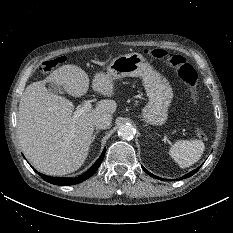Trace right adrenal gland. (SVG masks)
Here are the masks:
<instances>
[{"instance_id": "1", "label": "right adrenal gland", "mask_w": 233, "mask_h": 233, "mask_svg": "<svg viewBox=\"0 0 233 233\" xmlns=\"http://www.w3.org/2000/svg\"><path fill=\"white\" fill-rule=\"evenodd\" d=\"M99 133V130H96V132L94 133L93 137H92V142L94 141V139L96 138L97 134Z\"/></svg>"}]
</instances>
